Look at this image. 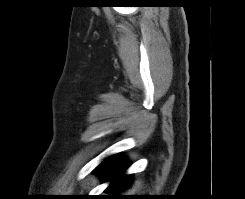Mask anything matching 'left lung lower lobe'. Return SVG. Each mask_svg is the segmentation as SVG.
I'll return each mask as SVG.
<instances>
[{
	"instance_id": "left-lung-lower-lobe-1",
	"label": "left lung lower lobe",
	"mask_w": 245,
	"mask_h": 199,
	"mask_svg": "<svg viewBox=\"0 0 245 199\" xmlns=\"http://www.w3.org/2000/svg\"><path fill=\"white\" fill-rule=\"evenodd\" d=\"M129 166L127 160L122 155L116 154L106 159L96 168V172L100 173L103 182L115 178ZM130 176H122L116 178L106 191H119L129 185Z\"/></svg>"
}]
</instances>
